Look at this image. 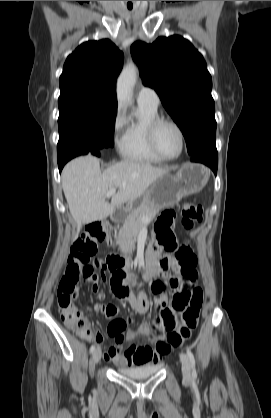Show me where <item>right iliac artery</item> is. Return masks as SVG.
Returning <instances> with one entry per match:
<instances>
[{
	"instance_id": "1",
	"label": "right iliac artery",
	"mask_w": 271,
	"mask_h": 418,
	"mask_svg": "<svg viewBox=\"0 0 271 418\" xmlns=\"http://www.w3.org/2000/svg\"><path fill=\"white\" fill-rule=\"evenodd\" d=\"M94 350H95V345H92V346L90 347V353H93V352H94Z\"/></svg>"
}]
</instances>
